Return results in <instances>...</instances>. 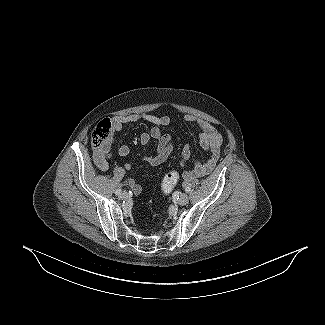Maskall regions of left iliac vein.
<instances>
[{
	"label": "left iliac vein",
	"mask_w": 325,
	"mask_h": 325,
	"mask_svg": "<svg viewBox=\"0 0 325 325\" xmlns=\"http://www.w3.org/2000/svg\"><path fill=\"white\" fill-rule=\"evenodd\" d=\"M177 202H178L179 205H182V206L186 205L189 202L188 195L184 194V193L181 194Z\"/></svg>",
	"instance_id": "obj_1"
}]
</instances>
